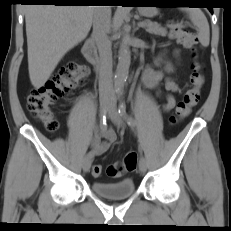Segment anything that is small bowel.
<instances>
[{
	"label": "small bowel",
	"mask_w": 231,
	"mask_h": 231,
	"mask_svg": "<svg viewBox=\"0 0 231 231\" xmlns=\"http://www.w3.org/2000/svg\"><path fill=\"white\" fill-rule=\"evenodd\" d=\"M143 83L148 89L163 92L165 111H170L175 107L176 101L173 94L179 91V86L173 79L165 78L159 70L148 69L143 76ZM115 140L116 133L111 128L96 133L90 141L91 151L95 155H101L111 147Z\"/></svg>",
	"instance_id": "small-bowel-1"
}]
</instances>
